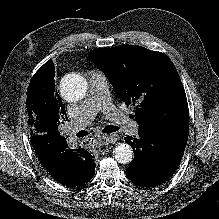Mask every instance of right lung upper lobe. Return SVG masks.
Returning <instances> with one entry per match:
<instances>
[{"label": "right lung upper lobe", "instance_id": "1", "mask_svg": "<svg viewBox=\"0 0 219 219\" xmlns=\"http://www.w3.org/2000/svg\"><path fill=\"white\" fill-rule=\"evenodd\" d=\"M54 76H55L54 64L52 60H49L35 73V75L32 77V80L40 81L43 85L46 94L52 93L56 97V99L62 103L61 97L58 95L57 90H55ZM38 134L39 133L31 134V136L32 138H34Z\"/></svg>", "mask_w": 219, "mask_h": 219}]
</instances>
